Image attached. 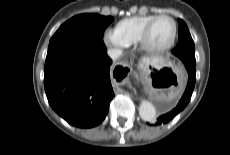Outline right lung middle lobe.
Instances as JSON below:
<instances>
[{"mask_svg":"<svg viewBox=\"0 0 230 155\" xmlns=\"http://www.w3.org/2000/svg\"><path fill=\"white\" fill-rule=\"evenodd\" d=\"M113 19L91 13L72 17L52 36L47 57L69 49H104L103 34Z\"/></svg>","mask_w":230,"mask_h":155,"instance_id":"1","label":"right lung middle lobe"}]
</instances>
